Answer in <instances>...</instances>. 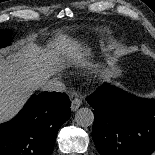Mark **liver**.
<instances>
[{
	"label": "liver",
	"mask_w": 155,
	"mask_h": 155,
	"mask_svg": "<svg viewBox=\"0 0 155 155\" xmlns=\"http://www.w3.org/2000/svg\"><path fill=\"white\" fill-rule=\"evenodd\" d=\"M55 50L43 51L33 42L23 44L4 58L0 55V123L15 116L30 93L62 69L61 62L97 68L87 61L89 49L66 34H58ZM108 77L106 71L102 72Z\"/></svg>",
	"instance_id": "obj_1"
}]
</instances>
